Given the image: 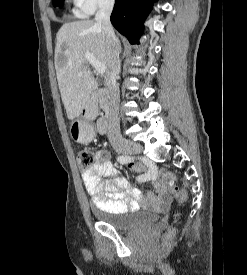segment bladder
<instances>
[{
	"instance_id": "1",
	"label": "bladder",
	"mask_w": 247,
	"mask_h": 275,
	"mask_svg": "<svg viewBox=\"0 0 247 275\" xmlns=\"http://www.w3.org/2000/svg\"><path fill=\"white\" fill-rule=\"evenodd\" d=\"M90 210L98 222L118 230L131 229L142 225L151 226L158 221L157 214L142 209L111 212L99 207H91Z\"/></svg>"
}]
</instances>
